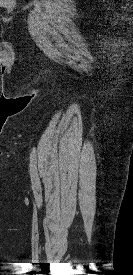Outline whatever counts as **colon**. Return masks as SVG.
Masks as SVG:
<instances>
[{
  "instance_id": "1",
  "label": "colon",
  "mask_w": 133,
  "mask_h": 275,
  "mask_svg": "<svg viewBox=\"0 0 133 275\" xmlns=\"http://www.w3.org/2000/svg\"><path fill=\"white\" fill-rule=\"evenodd\" d=\"M3 5L6 9L11 10L15 6V0H5L3 2Z\"/></svg>"
}]
</instances>
